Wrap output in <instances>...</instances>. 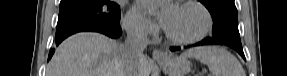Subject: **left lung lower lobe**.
Listing matches in <instances>:
<instances>
[{
	"label": "left lung lower lobe",
	"mask_w": 287,
	"mask_h": 76,
	"mask_svg": "<svg viewBox=\"0 0 287 76\" xmlns=\"http://www.w3.org/2000/svg\"><path fill=\"white\" fill-rule=\"evenodd\" d=\"M226 45L229 46L231 48H233L234 50H236L244 59V53H243V49H242V45L241 44H229V43H224L222 41H218L216 39H214L213 37L211 38H205L204 40H202L201 42H198L196 45ZM171 51H178L180 50V47H171L170 48Z\"/></svg>",
	"instance_id": "left-lung-lower-lobe-1"
}]
</instances>
